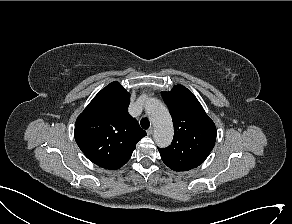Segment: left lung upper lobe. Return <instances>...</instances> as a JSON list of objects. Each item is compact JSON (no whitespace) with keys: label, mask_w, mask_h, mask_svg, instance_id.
Instances as JSON below:
<instances>
[{"label":"left lung upper lobe","mask_w":292,"mask_h":224,"mask_svg":"<svg viewBox=\"0 0 292 224\" xmlns=\"http://www.w3.org/2000/svg\"><path fill=\"white\" fill-rule=\"evenodd\" d=\"M174 125L170 146L159 149L165 165L175 171H187L202 164L216 141V127L193 93L182 85L162 92Z\"/></svg>","instance_id":"obj_1"}]
</instances>
